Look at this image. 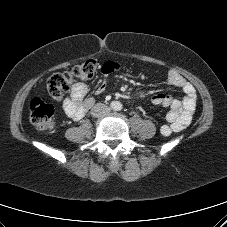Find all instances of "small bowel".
I'll return each mask as SVG.
<instances>
[{
    "label": "small bowel",
    "mask_w": 227,
    "mask_h": 227,
    "mask_svg": "<svg viewBox=\"0 0 227 227\" xmlns=\"http://www.w3.org/2000/svg\"><path fill=\"white\" fill-rule=\"evenodd\" d=\"M119 68L118 64L107 62L102 66L105 76ZM170 85L180 88L185 97L182 100L175 99L169 95L158 93L152 96V103L168 108L166 114V125L161 127V133L169 136L171 133L183 131L191 122L197 105V93L194 86L178 72L171 70L168 73ZM105 90V81L98 86L96 93L101 94ZM88 88L84 83H76L71 89L70 95L63 102V109L67 116L73 120L82 119L86 112L93 106L95 100L86 97Z\"/></svg>",
    "instance_id": "obj_1"
}]
</instances>
